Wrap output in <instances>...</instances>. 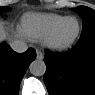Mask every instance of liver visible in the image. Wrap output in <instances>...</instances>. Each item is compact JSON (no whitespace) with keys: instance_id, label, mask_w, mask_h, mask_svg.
<instances>
[{"instance_id":"liver-1","label":"liver","mask_w":95,"mask_h":95,"mask_svg":"<svg viewBox=\"0 0 95 95\" xmlns=\"http://www.w3.org/2000/svg\"><path fill=\"white\" fill-rule=\"evenodd\" d=\"M0 38H1V41H4V40H7L8 42L12 41V38L9 35L8 30L4 27H1Z\"/></svg>"}]
</instances>
